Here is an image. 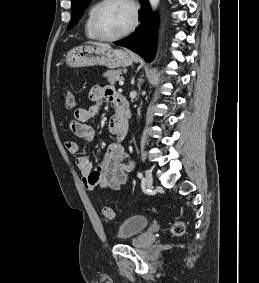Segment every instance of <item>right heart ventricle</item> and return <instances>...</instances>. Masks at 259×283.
<instances>
[{
	"mask_svg": "<svg viewBox=\"0 0 259 283\" xmlns=\"http://www.w3.org/2000/svg\"><path fill=\"white\" fill-rule=\"evenodd\" d=\"M98 3L99 2L97 1L90 6L87 12V15H86L85 23H84V33L87 38L92 39V40L97 39L91 28V19H92L93 11L95 7L98 5Z\"/></svg>",
	"mask_w": 259,
	"mask_h": 283,
	"instance_id": "e07e8e85",
	"label": "right heart ventricle"
}]
</instances>
